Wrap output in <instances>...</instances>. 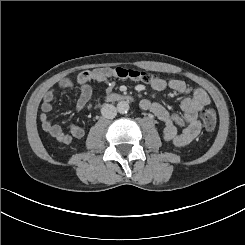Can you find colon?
I'll return each instance as SVG.
<instances>
[{
	"label": "colon",
	"instance_id": "5ec220e1",
	"mask_svg": "<svg viewBox=\"0 0 245 245\" xmlns=\"http://www.w3.org/2000/svg\"><path fill=\"white\" fill-rule=\"evenodd\" d=\"M112 75L114 78L118 79H127L132 81H138L143 83H151L155 77L145 71L136 70V69H127V68H116L112 70ZM79 81L85 83L88 81V78L85 74H82L79 77ZM201 121L203 128L206 131H213L216 127L217 117L213 109H206L201 114Z\"/></svg>",
	"mask_w": 245,
	"mask_h": 245
}]
</instances>
